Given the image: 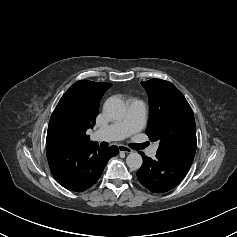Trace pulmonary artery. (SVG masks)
<instances>
[{
  "mask_svg": "<svg viewBox=\"0 0 237 237\" xmlns=\"http://www.w3.org/2000/svg\"><path fill=\"white\" fill-rule=\"evenodd\" d=\"M146 105L140 99L130 101L127 114L124 118L106 127L98 129L94 133V139L101 141H118L143 129L146 121ZM157 146L149 150V155L154 157Z\"/></svg>",
  "mask_w": 237,
  "mask_h": 237,
  "instance_id": "pulmonary-artery-1",
  "label": "pulmonary artery"
}]
</instances>
